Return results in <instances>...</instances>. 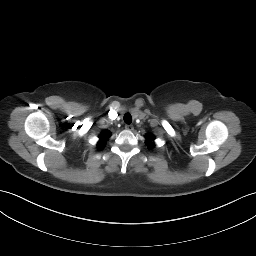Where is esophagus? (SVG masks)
<instances>
[{
    "label": "esophagus",
    "mask_w": 256,
    "mask_h": 256,
    "mask_svg": "<svg viewBox=\"0 0 256 256\" xmlns=\"http://www.w3.org/2000/svg\"><path fill=\"white\" fill-rule=\"evenodd\" d=\"M126 130L132 131L134 127L132 125H126L125 126Z\"/></svg>",
    "instance_id": "esophagus-1"
}]
</instances>
